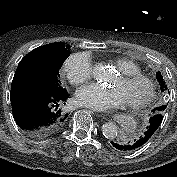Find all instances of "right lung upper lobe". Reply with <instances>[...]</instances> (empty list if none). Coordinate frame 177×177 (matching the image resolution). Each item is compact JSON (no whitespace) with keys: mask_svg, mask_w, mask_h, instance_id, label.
<instances>
[{"mask_svg":"<svg viewBox=\"0 0 177 177\" xmlns=\"http://www.w3.org/2000/svg\"><path fill=\"white\" fill-rule=\"evenodd\" d=\"M68 46L61 42L51 43L48 45H44L32 50L28 53L24 58H41L43 60H52L54 57L62 54L64 51H68Z\"/></svg>","mask_w":177,"mask_h":177,"instance_id":"right-lung-upper-lobe-1","label":"right lung upper lobe"}]
</instances>
